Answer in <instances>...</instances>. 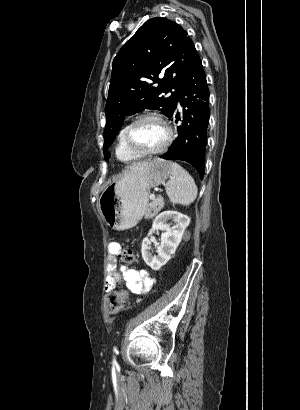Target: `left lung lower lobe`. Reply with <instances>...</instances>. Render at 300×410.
<instances>
[{
	"label": "left lung lower lobe",
	"mask_w": 300,
	"mask_h": 410,
	"mask_svg": "<svg viewBox=\"0 0 300 410\" xmlns=\"http://www.w3.org/2000/svg\"><path fill=\"white\" fill-rule=\"evenodd\" d=\"M177 102L183 112L176 111ZM171 119L182 120L177 126L178 136L169 150L160 157L167 160H182L194 166L203 178L205 170V150L209 123V89L199 55L181 82Z\"/></svg>",
	"instance_id": "0a47b994"
}]
</instances>
